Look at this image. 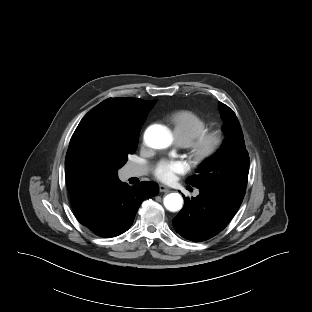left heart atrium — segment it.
Returning <instances> with one entry per match:
<instances>
[{"label": "left heart atrium", "instance_id": "obj_1", "mask_svg": "<svg viewBox=\"0 0 312 312\" xmlns=\"http://www.w3.org/2000/svg\"><path fill=\"white\" fill-rule=\"evenodd\" d=\"M188 170V165L180 160H163L156 167L154 174L163 182H172L178 174Z\"/></svg>", "mask_w": 312, "mask_h": 312}]
</instances>
